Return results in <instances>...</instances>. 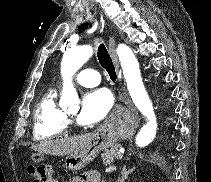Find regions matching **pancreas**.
<instances>
[{
	"instance_id": "pancreas-1",
	"label": "pancreas",
	"mask_w": 211,
	"mask_h": 182,
	"mask_svg": "<svg viewBox=\"0 0 211 182\" xmlns=\"http://www.w3.org/2000/svg\"><path fill=\"white\" fill-rule=\"evenodd\" d=\"M119 148H120V146L115 145L111 149H106L102 153V159L105 162V164L109 165V164L113 163L115 159L122 158V154L120 153Z\"/></svg>"
}]
</instances>
